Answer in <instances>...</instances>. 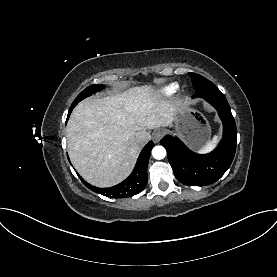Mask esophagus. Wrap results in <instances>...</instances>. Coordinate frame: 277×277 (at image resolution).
Listing matches in <instances>:
<instances>
[{
	"label": "esophagus",
	"mask_w": 277,
	"mask_h": 277,
	"mask_svg": "<svg viewBox=\"0 0 277 277\" xmlns=\"http://www.w3.org/2000/svg\"><path fill=\"white\" fill-rule=\"evenodd\" d=\"M165 135V131L163 130H156L153 133V138L156 142H158L163 136Z\"/></svg>",
	"instance_id": "1"
}]
</instances>
